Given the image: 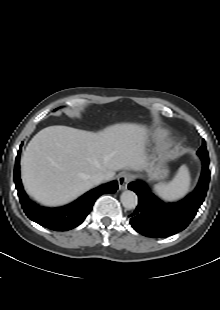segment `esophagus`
Masks as SVG:
<instances>
[{
  "label": "esophagus",
  "instance_id": "34e87169",
  "mask_svg": "<svg viewBox=\"0 0 220 310\" xmlns=\"http://www.w3.org/2000/svg\"><path fill=\"white\" fill-rule=\"evenodd\" d=\"M132 176L128 173H122L118 176V186L120 190L127 189L128 183L131 181Z\"/></svg>",
  "mask_w": 220,
  "mask_h": 310
}]
</instances>
